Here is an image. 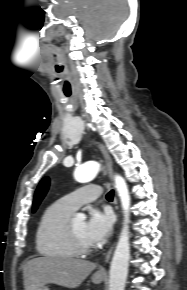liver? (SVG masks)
<instances>
[{"instance_id": "6515ba94", "label": "liver", "mask_w": 187, "mask_h": 290, "mask_svg": "<svg viewBox=\"0 0 187 290\" xmlns=\"http://www.w3.org/2000/svg\"><path fill=\"white\" fill-rule=\"evenodd\" d=\"M96 268L93 262L65 257H37L23 265L25 290H38L53 283L77 288Z\"/></svg>"}]
</instances>
